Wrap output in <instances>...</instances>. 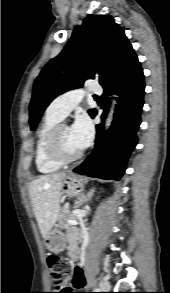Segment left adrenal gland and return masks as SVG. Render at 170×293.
<instances>
[{
	"label": "left adrenal gland",
	"mask_w": 170,
	"mask_h": 293,
	"mask_svg": "<svg viewBox=\"0 0 170 293\" xmlns=\"http://www.w3.org/2000/svg\"><path fill=\"white\" fill-rule=\"evenodd\" d=\"M93 192H94V190L92 189L86 195L82 194L81 196H79L76 207H79L82 204H84L85 202H87L88 200H90L93 195Z\"/></svg>",
	"instance_id": "left-adrenal-gland-1"
}]
</instances>
